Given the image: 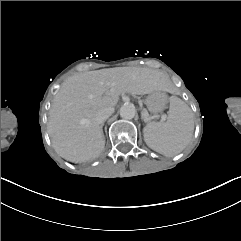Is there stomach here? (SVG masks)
<instances>
[{
  "instance_id": "stomach-1",
  "label": "stomach",
  "mask_w": 241,
  "mask_h": 241,
  "mask_svg": "<svg viewBox=\"0 0 241 241\" xmlns=\"http://www.w3.org/2000/svg\"><path fill=\"white\" fill-rule=\"evenodd\" d=\"M146 106L152 114L162 112L167 106L165 93L160 91L150 93L146 98Z\"/></svg>"
}]
</instances>
